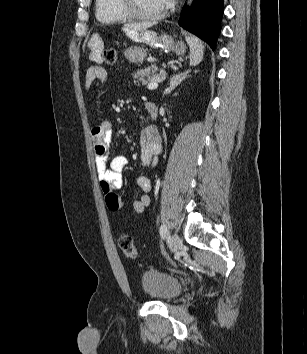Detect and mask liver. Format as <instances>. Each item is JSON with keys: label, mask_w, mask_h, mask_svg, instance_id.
<instances>
[{"label": "liver", "mask_w": 307, "mask_h": 354, "mask_svg": "<svg viewBox=\"0 0 307 354\" xmlns=\"http://www.w3.org/2000/svg\"><path fill=\"white\" fill-rule=\"evenodd\" d=\"M151 23H132V24H127L126 27L133 30V31H145L149 27H151Z\"/></svg>", "instance_id": "liver-1"}]
</instances>
